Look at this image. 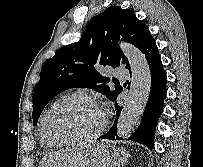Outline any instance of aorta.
<instances>
[{
	"label": "aorta",
	"mask_w": 203,
	"mask_h": 167,
	"mask_svg": "<svg viewBox=\"0 0 203 167\" xmlns=\"http://www.w3.org/2000/svg\"><path fill=\"white\" fill-rule=\"evenodd\" d=\"M119 45L128 58L132 71L128 98L117 123V135L126 137L139 122L146 106L151 88V72L145 55L141 51L129 43Z\"/></svg>",
	"instance_id": "1"
}]
</instances>
